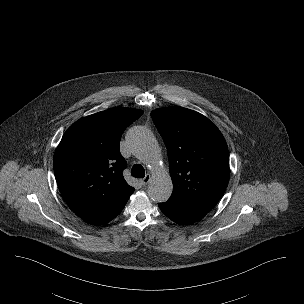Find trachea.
Here are the masks:
<instances>
[{
    "label": "trachea",
    "mask_w": 304,
    "mask_h": 304,
    "mask_svg": "<svg viewBox=\"0 0 304 304\" xmlns=\"http://www.w3.org/2000/svg\"><path fill=\"white\" fill-rule=\"evenodd\" d=\"M131 174L136 178H144L145 171L143 166L140 164H135L131 169Z\"/></svg>",
    "instance_id": "obj_1"
}]
</instances>
